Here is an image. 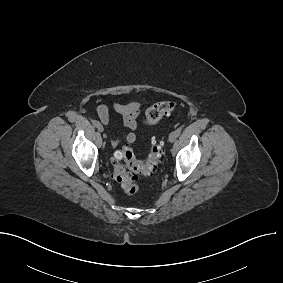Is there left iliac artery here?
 I'll return each mask as SVG.
<instances>
[{
	"label": "left iliac artery",
	"instance_id": "1",
	"mask_svg": "<svg viewBox=\"0 0 283 283\" xmlns=\"http://www.w3.org/2000/svg\"><path fill=\"white\" fill-rule=\"evenodd\" d=\"M175 132H176V135L178 137L181 134V128H178Z\"/></svg>",
	"mask_w": 283,
	"mask_h": 283
}]
</instances>
